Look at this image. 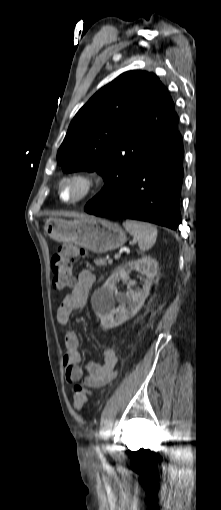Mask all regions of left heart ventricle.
<instances>
[{"instance_id":"obj_1","label":"left heart ventricle","mask_w":221,"mask_h":510,"mask_svg":"<svg viewBox=\"0 0 221 510\" xmlns=\"http://www.w3.org/2000/svg\"><path fill=\"white\" fill-rule=\"evenodd\" d=\"M81 190H82V187L79 183H76V182L69 183L68 185H66L64 187L63 197L66 200L74 199L80 194Z\"/></svg>"}]
</instances>
